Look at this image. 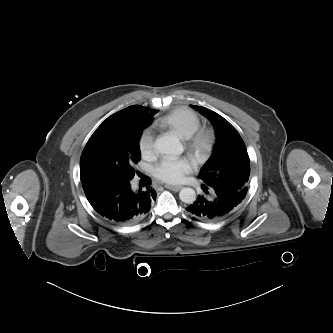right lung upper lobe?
I'll return each instance as SVG.
<instances>
[{
    "mask_svg": "<svg viewBox=\"0 0 333 333\" xmlns=\"http://www.w3.org/2000/svg\"><path fill=\"white\" fill-rule=\"evenodd\" d=\"M140 107H142V106H140ZM142 108H143V110H144L145 112H147V114H149L150 116H153V114L157 113V111H155V110L149 111V109L146 108V107H142Z\"/></svg>",
    "mask_w": 333,
    "mask_h": 333,
    "instance_id": "obj_1",
    "label": "right lung upper lobe"
}]
</instances>
